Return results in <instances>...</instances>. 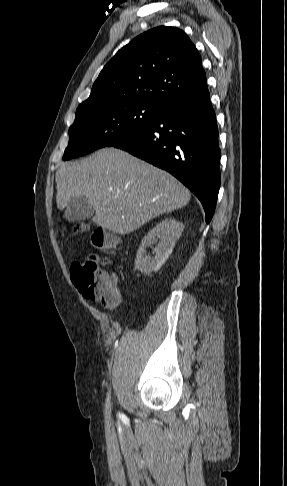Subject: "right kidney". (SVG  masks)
I'll use <instances>...</instances> for the list:
<instances>
[{
	"instance_id": "1",
	"label": "right kidney",
	"mask_w": 287,
	"mask_h": 486,
	"mask_svg": "<svg viewBox=\"0 0 287 486\" xmlns=\"http://www.w3.org/2000/svg\"><path fill=\"white\" fill-rule=\"evenodd\" d=\"M184 225L175 219H165L142 239L135 259V268L143 274L158 271L172 253L177 239L181 236ZM156 244L153 258L146 255V248Z\"/></svg>"
}]
</instances>
